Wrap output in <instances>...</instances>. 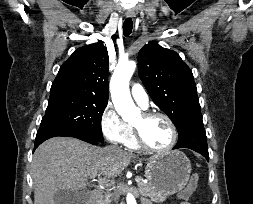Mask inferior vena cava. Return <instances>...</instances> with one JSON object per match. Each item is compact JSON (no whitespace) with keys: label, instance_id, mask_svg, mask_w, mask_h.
Segmentation results:
<instances>
[{"label":"inferior vena cava","instance_id":"1","mask_svg":"<svg viewBox=\"0 0 253 204\" xmlns=\"http://www.w3.org/2000/svg\"><path fill=\"white\" fill-rule=\"evenodd\" d=\"M110 148H111V149H117L115 146H110ZM117 199H118V197L115 196V197H114V200L117 201Z\"/></svg>","mask_w":253,"mask_h":204}]
</instances>
